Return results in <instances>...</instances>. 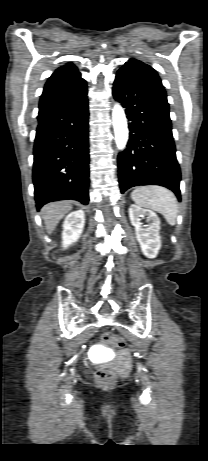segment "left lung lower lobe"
Wrapping results in <instances>:
<instances>
[{
  "mask_svg": "<svg viewBox=\"0 0 208 461\" xmlns=\"http://www.w3.org/2000/svg\"><path fill=\"white\" fill-rule=\"evenodd\" d=\"M113 96L130 121L127 148L118 155L121 193L133 186L160 185L180 200L181 172L164 88L118 71Z\"/></svg>",
  "mask_w": 208,
  "mask_h": 461,
  "instance_id": "obj_1",
  "label": "left lung lower lobe"
}]
</instances>
